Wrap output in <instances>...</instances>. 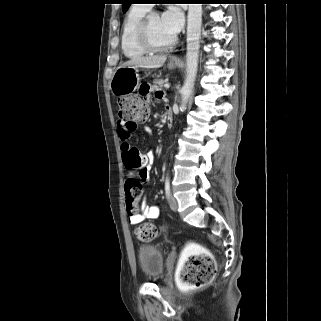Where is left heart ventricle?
<instances>
[{"instance_id":"left-heart-ventricle-1","label":"left heart ventricle","mask_w":321,"mask_h":321,"mask_svg":"<svg viewBox=\"0 0 321 321\" xmlns=\"http://www.w3.org/2000/svg\"><path fill=\"white\" fill-rule=\"evenodd\" d=\"M149 35L156 45H164L174 37L162 24L160 16L153 15L149 20Z\"/></svg>"}]
</instances>
